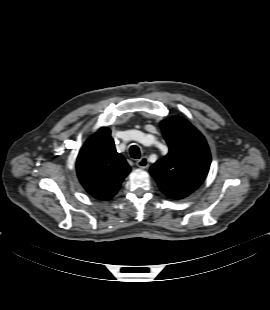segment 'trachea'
Returning <instances> with one entry per match:
<instances>
[{"label":"trachea","instance_id":"trachea-1","mask_svg":"<svg viewBox=\"0 0 270 310\" xmlns=\"http://www.w3.org/2000/svg\"><path fill=\"white\" fill-rule=\"evenodd\" d=\"M130 155L134 159H139L141 157V152L138 146L132 145L130 147Z\"/></svg>","mask_w":270,"mask_h":310}]
</instances>
